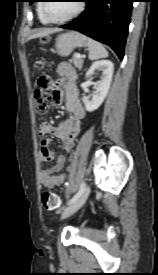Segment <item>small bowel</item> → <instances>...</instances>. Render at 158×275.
I'll return each instance as SVG.
<instances>
[{
    "label": "small bowel",
    "instance_id": "obj_1",
    "mask_svg": "<svg viewBox=\"0 0 158 275\" xmlns=\"http://www.w3.org/2000/svg\"><path fill=\"white\" fill-rule=\"evenodd\" d=\"M60 76L58 81H51L48 76L43 78L49 80V86L54 90V101L56 104L63 102L61 95V86L65 88L64 105L67 111L72 115V119L63 120L57 127L50 123H42L39 126V134L42 137L39 160L41 162H50L54 159V152L49 148V135H54L62 141L65 152L71 153L75 147V142L81 131V121L85 117V110L79 100V91L75 84L76 72L68 63H60L57 68ZM65 155H59L55 164L41 170L40 181L45 188H54L61 186L65 182V175L62 169L65 165Z\"/></svg>",
    "mask_w": 158,
    "mask_h": 275
}]
</instances>
